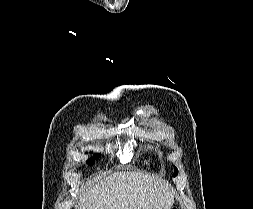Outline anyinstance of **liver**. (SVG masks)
Returning a JSON list of instances; mask_svg holds the SVG:
<instances>
[{"instance_id":"1","label":"liver","mask_w":253,"mask_h":209,"mask_svg":"<svg viewBox=\"0 0 253 209\" xmlns=\"http://www.w3.org/2000/svg\"><path fill=\"white\" fill-rule=\"evenodd\" d=\"M175 191L168 182L143 172H117L99 181L75 209H170Z\"/></svg>"}]
</instances>
